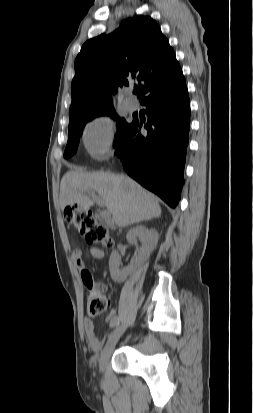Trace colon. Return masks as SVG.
<instances>
[{
  "label": "colon",
  "mask_w": 253,
  "mask_h": 413,
  "mask_svg": "<svg viewBox=\"0 0 253 413\" xmlns=\"http://www.w3.org/2000/svg\"><path fill=\"white\" fill-rule=\"evenodd\" d=\"M64 217L68 224L74 226L88 243H101L104 246L112 245V238L106 226L99 223L95 217L78 206H68L64 210ZM87 310L90 315H99L108 308V300L104 295L105 287L100 284L88 286Z\"/></svg>",
  "instance_id": "colon-1"
}]
</instances>
